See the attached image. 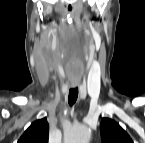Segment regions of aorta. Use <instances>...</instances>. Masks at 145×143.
I'll use <instances>...</instances> for the list:
<instances>
[{"mask_svg":"<svg viewBox=\"0 0 145 143\" xmlns=\"http://www.w3.org/2000/svg\"><path fill=\"white\" fill-rule=\"evenodd\" d=\"M91 131L88 127L80 125L72 127L65 134V143H88Z\"/></svg>","mask_w":145,"mask_h":143,"instance_id":"aorta-1","label":"aorta"}]
</instances>
